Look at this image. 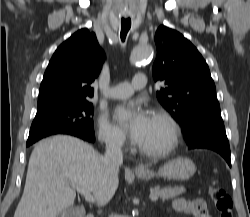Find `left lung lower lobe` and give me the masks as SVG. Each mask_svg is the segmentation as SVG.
<instances>
[{
	"label": "left lung lower lobe",
	"mask_w": 250,
	"mask_h": 217,
	"mask_svg": "<svg viewBox=\"0 0 250 217\" xmlns=\"http://www.w3.org/2000/svg\"><path fill=\"white\" fill-rule=\"evenodd\" d=\"M184 138L189 149H211L216 151L231 166L229 142L221 117H213L197 125Z\"/></svg>",
	"instance_id": "left-lung-lower-lobe-1"
}]
</instances>
